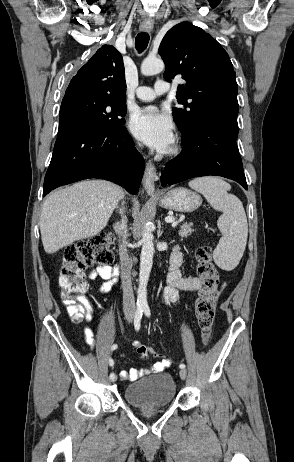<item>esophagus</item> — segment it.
I'll return each instance as SVG.
<instances>
[{
    "instance_id": "1",
    "label": "esophagus",
    "mask_w": 294,
    "mask_h": 462,
    "mask_svg": "<svg viewBox=\"0 0 294 462\" xmlns=\"http://www.w3.org/2000/svg\"><path fill=\"white\" fill-rule=\"evenodd\" d=\"M153 29V22L146 21L140 26V30L144 32H150ZM156 168L151 162H147L145 167V172L143 176V187L148 193H153L155 191V181H156Z\"/></svg>"
}]
</instances>
